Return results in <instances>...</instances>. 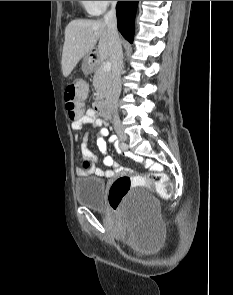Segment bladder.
<instances>
[{
  "instance_id": "31cf9c89",
  "label": "bladder",
  "mask_w": 233,
  "mask_h": 295,
  "mask_svg": "<svg viewBox=\"0 0 233 295\" xmlns=\"http://www.w3.org/2000/svg\"><path fill=\"white\" fill-rule=\"evenodd\" d=\"M76 199L78 203L89 209L103 212L105 210V182L92 176H83L75 182ZM126 214H132L143 221L150 222L159 214V202L146 190H140L124 207Z\"/></svg>"
}]
</instances>
